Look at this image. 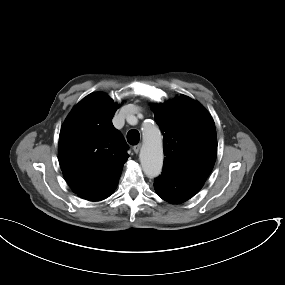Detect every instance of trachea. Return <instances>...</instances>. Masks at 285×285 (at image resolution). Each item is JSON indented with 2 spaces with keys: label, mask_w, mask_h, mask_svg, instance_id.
Returning a JSON list of instances; mask_svg holds the SVG:
<instances>
[{
  "label": "trachea",
  "mask_w": 285,
  "mask_h": 285,
  "mask_svg": "<svg viewBox=\"0 0 285 285\" xmlns=\"http://www.w3.org/2000/svg\"><path fill=\"white\" fill-rule=\"evenodd\" d=\"M140 140V134L137 130H130L127 134V141L131 145H136Z\"/></svg>",
  "instance_id": "trachea-1"
}]
</instances>
